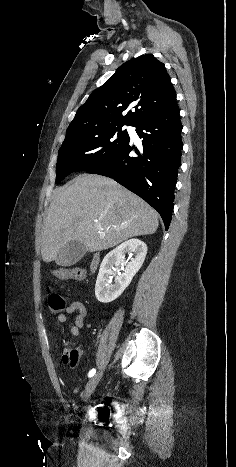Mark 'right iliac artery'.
I'll return each instance as SVG.
<instances>
[{"label":"right iliac artery","instance_id":"1","mask_svg":"<svg viewBox=\"0 0 236 467\" xmlns=\"http://www.w3.org/2000/svg\"><path fill=\"white\" fill-rule=\"evenodd\" d=\"M95 373H96V369H92V370L89 372L88 377L94 376Z\"/></svg>","mask_w":236,"mask_h":467}]
</instances>
